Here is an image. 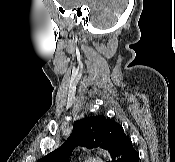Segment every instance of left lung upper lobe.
<instances>
[{"instance_id":"5c2ea615","label":"left lung upper lobe","mask_w":175,"mask_h":162,"mask_svg":"<svg viewBox=\"0 0 175 162\" xmlns=\"http://www.w3.org/2000/svg\"><path fill=\"white\" fill-rule=\"evenodd\" d=\"M124 135L117 122L105 116H93L74 123L73 131L64 144L37 162H68L77 146L94 148L100 146L112 155L115 146Z\"/></svg>"}]
</instances>
